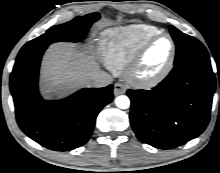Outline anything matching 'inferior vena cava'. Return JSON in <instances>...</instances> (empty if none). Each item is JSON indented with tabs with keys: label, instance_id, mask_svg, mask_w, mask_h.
<instances>
[{
	"label": "inferior vena cava",
	"instance_id": "602c4592",
	"mask_svg": "<svg viewBox=\"0 0 220 173\" xmlns=\"http://www.w3.org/2000/svg\"><path fill=\"white\" fill-rule=\"evenodd\" d=\"M113 78L111 77V75H109L106 72H98L96 74H94L89 82H88V87L90 88H100V87H105L108 86L112 83Z\"/></svg>",
	"mask_w": 220,
	"mask_h": 173
}]
</instances>
